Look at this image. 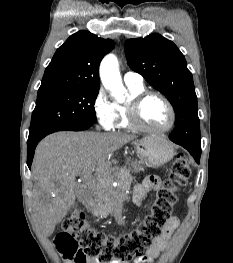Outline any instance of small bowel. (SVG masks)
<instances>
[{
    "instance_id": "1",
    "label": "small bowel",
    "mask_w": 233,
    "mask_h": 263,
    "mask_svg": "<svg viewBox=\"0 0 233 263\" xmlns=\"http://www.w3.org/2000/svg\"><path fill=\"white\" fill-rule=\"evenodd\" d=\"M160 187V180L157 177H147L141 184H138L134 188L133 201L139 204L151 190H156ZM180 220L176 216L170 217L163 228L162 235L155 239L152 245L149 247L145 255L137 257L131 261V263H153L155 259L167 248L168 241L170 240L173 232L179 226ZM92 263H103L102 261L95 259ZM108 263H121L118 260H111Z\"/></svg>"
}]
</instances>
